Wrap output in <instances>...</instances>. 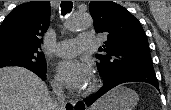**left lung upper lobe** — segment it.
I'll list each match as a JSON object with an SVG mask.
<instances>
[{"instance_id":"left-lung-upper-lobe-1","label":"left lung upper lobe","mask_w":171,"mask_h":110,"mask_svg":"<svg viewBox=\"0 0 171 110\" xmlns=\"http://www.w3.org/2000/svg\"><path fill=\"white\" fill-rule=\"evenodd\" d=\"M89 9L95 31L107 35L103 54H96L103 80L123 71H154L145 32L127 9L112 1H91Z\"/></svg>"}]
</instances>
